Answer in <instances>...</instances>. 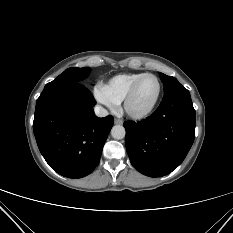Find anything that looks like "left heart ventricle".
I'll list each match as a JSON object with an SVG mask.
<instances>
[{
	"label": "left heart ventricle",
	"instance_id": "b2bd125f",
	"mask_svg": "<svg viewBox=\"0 0 233 233\" xmlns=\"http://www.w3.org/2000/svg\"><path fill=\"white\" fill-rule=\"evenodd\" d=\"M158 90L157 81L152 77L145 78L138 86L130 103L133 111H142L148 108L154 101Z\"/></svg>",
	"mask_w": 233,
	"mask_h": 233
}]
</instances>
